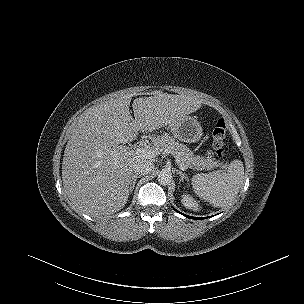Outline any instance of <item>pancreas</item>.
Masks as SVG:
<instances>
[{"label": "pancreas", "instance_id": "obj_1", "mask_svg": "<svg viewBox=\"0 0 304 304\" xmlns=\"http://www.w3.org/2000/svg\"><path fill=\"white\" fill-rule=\"evenodd\" d=\"M153 143L160 152L170 153L175 157L177 164H182L186 168L193 170H211L217 167H224V164L215 158H204L199 155L195 156L185 144L179 143L168 134L157 137Z\"/></svg>", "mask_w": 304, "mask_h": 304}]
</instances>
